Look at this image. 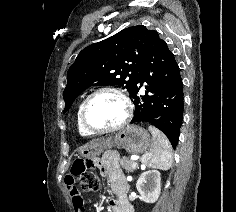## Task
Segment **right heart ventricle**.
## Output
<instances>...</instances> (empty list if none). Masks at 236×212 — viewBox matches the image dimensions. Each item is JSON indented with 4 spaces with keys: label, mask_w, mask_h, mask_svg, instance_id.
<instances>
[{
    "label": "right heart ventricle",
    "mask_w": 236,
    "mask_h": 212,
    "mask_svg": "<svg viewBox=\"0 0 236 212\" xmlns=\"http://www.w3.org/2000/svg\"><path fill=\"white\" fill-rule=\"evenodd\" d=\"M81 105L82 103H80L77 107V111H76V127H77V130H78V133L81 135V136H89L91 135L90 133H88L84 127L82 126L81 124V121H80V109H81Z\"/></svg>",
    "instance_id": "right-heart-ventricle-1"
}]
</instances>
